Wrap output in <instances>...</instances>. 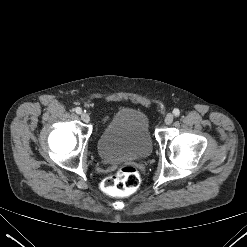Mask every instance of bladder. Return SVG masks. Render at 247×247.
<instances>
[{
	"instance_id": "obj_1",
	"label": "bladder",
	"mask_w": 247,
	"mask_h": 247,
	"mask_svg": "<svg viewBox=\"0 0 247 247\" xmlns=\"http://www.w3.org/2000/svg\"><path fill=\"white\" fill-rule=\"evenodd\" d=\"M149 121L133 108L120 109L99 136L97 150L106 163L147 158L152 152Z\"/></svg>"
}]
</instances>
